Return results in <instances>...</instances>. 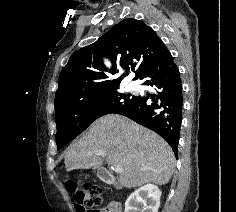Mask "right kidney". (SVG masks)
<instances>
[{
  "instance_id": "1",
  "label": "right kidney",
  "mask_w": 236,
  "mask_h": 212,
  "mask_svg": "<svg viewBox=\"0 0 236 212\" xmlns=\"http://www.w3.org/2000/svg\"><path fill=\"white\" fill-rule=\"evenodd\" d=\"M161 191L154 184H147L134 191L125 202L124 212H137L138 205L142 204L141 212H158Z\"/></svg>"
}]
</instances>
